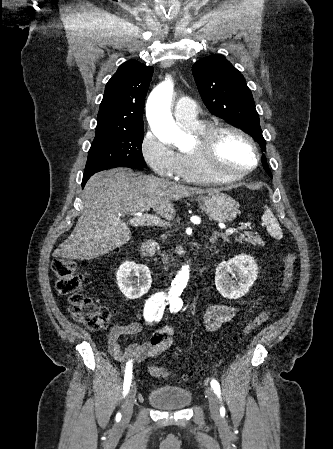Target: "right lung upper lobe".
<instances>
[{
	"label": "right lung upper lobe",
	"instance_id": "right-lung-upper-lobe-1",
	"mask_svg": "<svg viewBox=\"0 0 333 449\" xmlns=\"http://www.w3.org/2000/svg\"><path fill=\"white\" fill-rule=\"evenodd\" d=\"M152 75L153 67L136 60L119 66L106 85L96 132L136 131L143 127L145 96Z\"/></svg>",
	"mask_w": 333,
	"mask_h": 449
}]
</instances>
